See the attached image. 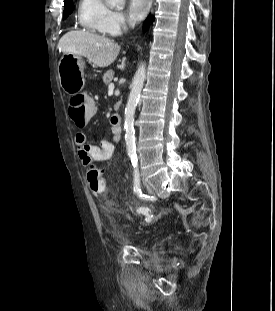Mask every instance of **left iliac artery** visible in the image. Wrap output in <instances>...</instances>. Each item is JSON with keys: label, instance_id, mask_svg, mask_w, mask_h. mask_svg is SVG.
<instances>
[{"label": "left iliac artery", "instance_id": "obj_1", "mask_svg": "<svg viewBox=\"0 0 275 311\" xmlns=\"http://www.w3.org/2000/svg\"><path fill=\"white\" fill-rule=\"evenodd\" d=\"M130 158H131V162L132 165L134 167V187H133V191L135 193L140 191V175H139V169H138V159H137V155L136 153H131L129 154ZM151 214L147 213V218L146 221H150L151 220Z\"/></svg>", "mask_w": 275, "mask_h": 311}]
</instances>
